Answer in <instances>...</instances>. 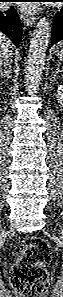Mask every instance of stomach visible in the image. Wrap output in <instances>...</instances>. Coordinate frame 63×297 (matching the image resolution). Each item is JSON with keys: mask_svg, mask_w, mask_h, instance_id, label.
<instances>
[{"mask_svg": "<svg viewBox=\"0 0 63 297\" xmlns=\"http://www.w3.org/2000/svg\"><path fill=\"white\" fill-rule=\"evenodd\" d=\"M55 52H56V55L62 59L63 58V45L62 44H59L55 48Z\"/></svg>", "mask_w": 63, "mask_h": 297, "instance_id": "stomach-1", "label": "stomach"}]
</instances>
